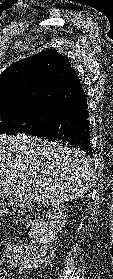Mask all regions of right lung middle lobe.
Here are the masks:
<instances>
[{
	"instance_id": "1",
	"label": "right lung middle lobe",
	"mask_w": 113,
	"mask_h": 279,
	"mask_svg": "<svg viewBox=\"0 0 113 279\" xmlns=\"http://www.w3.org/2000/svg\"><path fill=\"white\" fill-rule=\"evenodd\" d=\"M65 109L52 106H31L0 109V133H30L56 122Z\"/></svg>"
}]
</instances>
